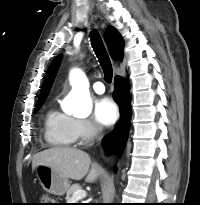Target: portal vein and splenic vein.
Masks as SVG:
<instances>
[{
    "instance_id": "18ae733b",
    "label": "portal vein and splenic vein",
    "mask_w": 200,
    "mask_h": 205,
    "mask_svg": "<svg viewBox=\"0 0 200 205\" xmlns=\"http://www.w3.org/2000/svg\"><path fill=\"white\" fill-rule=\"evenodd\" d=\"M87 196L86 191L78 190L73 194L72 201H77L85 198Z\"/></svg>"
}]
</instances>
